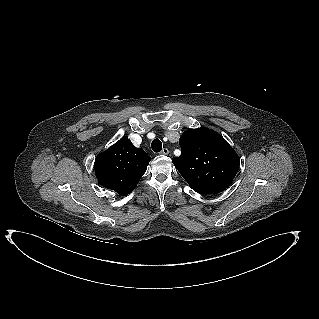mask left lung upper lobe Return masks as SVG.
Wrapping results in <instances>:
<instances>
[{
	"label": "left lung upper lobe",
	"instance_id": "1",
	"mask_svg": "<svg viewBox=\"0 0 319 319\" xmlns=\"http://www.w3.org/2000/svg\"><path fill=\"white\" fill-rule=\"evenodd\" d=\"M179 145L182 153L172 161L194 191L217 194L231 184L240 160L222 136L207 128L189 129Z\"/></svg>",
	"mask_w": 319,
	"mask_h": 319
}]
</instances>
